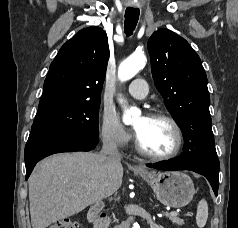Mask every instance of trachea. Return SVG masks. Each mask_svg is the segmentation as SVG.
<instances>
[{
	"instance_id": "3493384b",
	"label": "trachea",
	"mask_w": 238,
	"mask_h": 228,
	"mask_svg": "<svg viewBox=\"0 0 238 228\" xmlns=\"http://www.w3.org/2000/svg\"><path fill=\"white\" fill-rule=\"evenodd\" d=\"M139 14L140 11L137 9H126L124 29L127 36L132 35L137 25Z\"/></svg>"
}]
</instances>
